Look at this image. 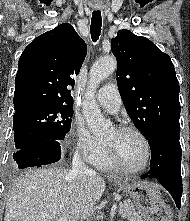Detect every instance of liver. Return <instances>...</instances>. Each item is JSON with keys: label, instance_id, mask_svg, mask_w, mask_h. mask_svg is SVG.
Returning a JSON list of instances; mask_svg holds the SVG:
<instances>
[{"label": "liver", "instance_id": "1", "mask_svg": "<svg viewBox=\"0 0 190 221\" xmlns=\"http://www.w3.org/2000/svg\"><path fill=\"white\" fill-rule=\"evenodd\" d=\"M105 188L96 173L82 182L66 169L29 170L10 188L4 221H78L92 215Z\"/></svg>", "mask_w": 190, "mask_h": 221}]
</instances>
